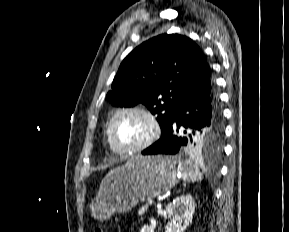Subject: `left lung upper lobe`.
Instances as JSON below:
<instances>
[{
	"label": "left lung upper lobe",
	"mask_w": 289,
	"mask_h": 232,
	"mask_svg": "<svg viewBox=\"0 0 289 232\" xmlns=\"http://www.w3.org/2000/svg\"><path fill=\"white\" fill-rule=\"evenodd\" d=\"M206 63L201 49L188 37L163 34L143 42L121 63L107 98L114 106L144 104L157 115L161 136L166 132L178 100ZM223 124L196 135L186 151L220 153Z\"/></svg>",
	"instance_id": "left-lung-upper-lobe-1"
}]
</instances>
